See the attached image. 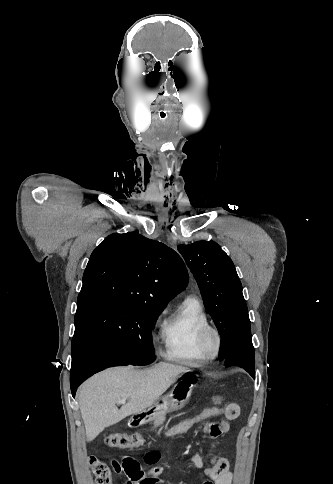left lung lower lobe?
Returning a JSON list of instances; mask_svg holds the SVG:
<instances>
[{
	"instance_id": "left-lung-lower-lobe-1",
	"label": "left lung lower lobe",
	"mask_w": 333,
	"mask_h": 484,
	"mask_svg": "<svg viewBox=\"0 0 333 484\" xmlns=\"http://www.w3.org/2000/svg\"><path fill=\"white\" fill-rule=\"evenodd\" d=\"M225 365H237L243 367L255 378V356L251 339L250 322L243 325L231 340L227 348Z\"/></svg>"
}]
</instances>
